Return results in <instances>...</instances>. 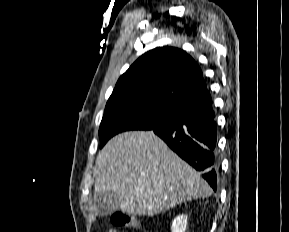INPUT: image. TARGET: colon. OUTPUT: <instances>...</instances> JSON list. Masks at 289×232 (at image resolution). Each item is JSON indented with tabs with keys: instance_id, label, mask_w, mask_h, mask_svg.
Listing matches in <instances>:
<instances>
[{
	"instance_id": "colon-1",
	"label": "colon",
	"mask_w": 289,
	"mask_h": 232,
	"mask_svg": "<svg viewBox=\"0 0 289 232\" xmlns=\"http://www.w3.org/2000/svg\"><path fill=\"white\" fill-rule=\"evenodd\" d=\"M112 224L117 228L138 229L139 225L137 221L130 215L123 212H115L111 216Z\"/></svg>"
}]
</instances>
